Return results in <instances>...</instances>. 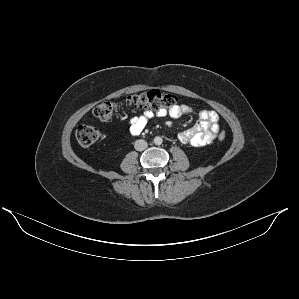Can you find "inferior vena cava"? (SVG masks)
<instances>
[{
  "label": "inferior vena cava",
  "instance_id": "inferior-vena-cava-1",
  "mask_svg": "<svg viewBox=\"0 0 299 299\" xmlns=\"http://www.w3.org/2000/svg\"><path fill=\"white\" fill-rule=\"evenodd\" d=\"M147 147H148V143H147L145 140L140 139V140H136V141H135L134 148H135L137 151H143V150H145Z\"/></svg>",
  "mask_w": 299,
  "mask_h": 299
}]
</instances>
